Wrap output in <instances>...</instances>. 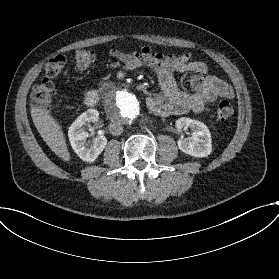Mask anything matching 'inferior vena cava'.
I'll return each mask as SVG.
<instances>
[{
	"instance_id": "inferior-vena-cava-1",
	"label": "inferior vena cava",
	"mask_w": 279,
	"mask_h": 279,
	"mask_svg": "<svg viewBox=\"0 0 279 279\" xmlns=\"http://www.w3.org/2000/svg\"><path fill=\"white\" fill-rule=\"evenodd\" d=\"M108 129L112 135L119 136L123 133V126L120 123L112 122L109 124Z\"/></svg>"
}]
</instances>
